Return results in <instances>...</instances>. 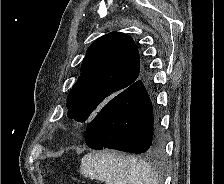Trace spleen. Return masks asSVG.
<instances>
[{"label": "spleen", "mask_w": 224, "mask_h": 184, "mask_svg": "<svg viewBox=\"0 0 224 184\" xmlns=\"http://www.w3.org/2000/svg\"><path fill=\"white\" fill-rule=\"evenodd\" d=\"M80 173L106 184H159L157 173L147 162L116 152L86 154Z\"/></svg>", "instance_id": "1"}]
</instances>
